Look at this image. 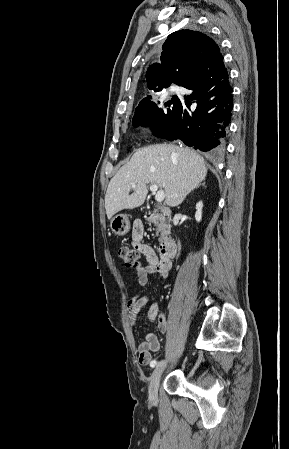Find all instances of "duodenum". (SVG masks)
I'll return each instance as SVG.
<instances>
[{"label":"duodenum","instance_id":"duodenum-1","mask_svg":"<svg viewBox=\"0 0 289 449\" xmlns=\"http://www.w3.org/2000/svg\"><path fill=\"white\" fill-rule=\"evenodd\" d=\"M158 212L163 215H170V211L166 208H160ZM176 249H177L176 242L172 238H167L163 240L159 247L161 256L169 259L174 257Z\"/></svg>","mask_w":289,"mask_h":449}]
</instances>
